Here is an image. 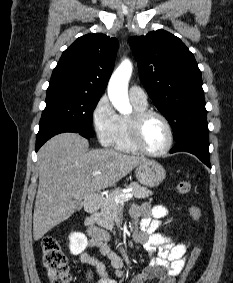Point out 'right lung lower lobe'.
Masks as SVG:
<instances>
[{
	"label": "right lung lower lobe",
	"instance_id": "98d812e1",
	"mask_svg": "<svg viewBox=\"0 0 233 283\" xmlns=\"http://www.w3.org/2000/svg\"><path fill=\"white\" fill-rule=\"evenodd\" d=\"M63 132H76L79 133L80 135L84 136L85 138H90L86 134L80 133L77 130L67 128V127H58V128H50L48 130H45L42 133H38L36 137V148L35 150L38 151V149L51 137L54 135H57L59 133Z\"/></svg>",
	"mask_w": 233,
	"mask_h": 283
}]
</instances>
